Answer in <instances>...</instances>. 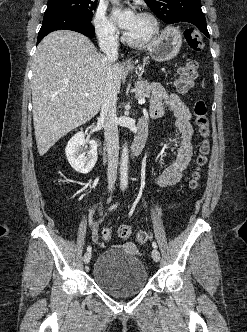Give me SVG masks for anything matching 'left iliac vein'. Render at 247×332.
Masks as SVG:
<instances>
[{"label":"left iliac vein","mask_w":247,"mask_h":332,"mask_svg":"<svg viewBox=\"0 0 247 332\" xmlns=\"http://www.w3.org/2000/svg\"><path fill=\"white\" fill-rule=\"evenodd\" d=\"M152 258L155 262H158L160 260V253L156 248L152 250Z\"/></svg>","instance_id":"4c4485c4"}]
</instances>
